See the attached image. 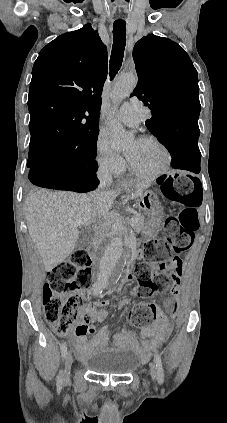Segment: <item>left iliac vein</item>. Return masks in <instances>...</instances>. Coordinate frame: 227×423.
<instances>
[{
	"mask_svg": "<svg viewBox=\"0 0 227 423\" xmlns=\"http://www.w3.org/2000/svg\"><path fill=\"white\" fill-rule=\"evenodd\" d=\"M150 375L153 383L156 381V369L153 362L150 363Z\"/></svg>",
	"mask_w": 227,
	"mask_h": 423,
	"instance_id": "obj_1",
	"label": "left iliac vein"
}]
</instances>
